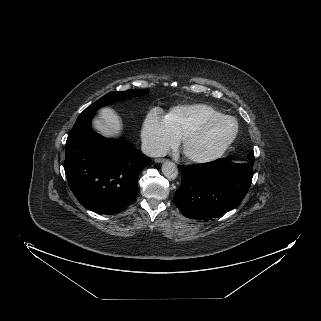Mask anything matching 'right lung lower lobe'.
<instances>
[{
    "label": "right lung lower lobe",
    "mask_w": 321,
    "mask_h": 321,
    "mask_svg": "<svg viewBox=\"0 0 321 321\" xmlns=\"http://www.w3.org/2000/svg\"><path fill=\"white\" fill-rule=\"evenodd\" d=\"M94 114H80L67 141L64 169L78 201L99 214H116L137 195L138 176L150 159L122 139L91 129Z\"/></svg>",
    "instance_id": "right-lung-lower-lobe-1"
}]
</instances>
